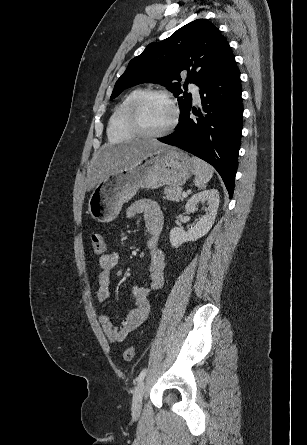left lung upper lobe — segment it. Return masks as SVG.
<instances>
[{
	"instance_id": "5c2ea615",
	"label": "left lung upper lobe",
	"mask_w": 307,
	"mask_h": 445,
	"mask_svg": "<svg viewBox=\"0 0 307 445\" xmlns=\"http://www.w3.org/2000/svg\"><path fill=\"white\" fill-rule=\"evenodd\" d=\"M232 57L233 52L217 27L206 19H197L169 38L149 44L142 54L133 58L117 80L111 99L124 89L145 82L166 86L178 96L183 91L175 81H181V72L188 73L183 86L190 82L202 88ZM178 104L180 121L191 108V94L179 97Z\"/></svg>"
}]
</instances>
